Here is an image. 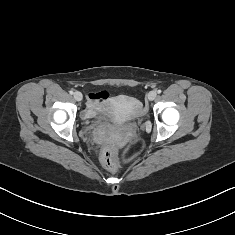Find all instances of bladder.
<instances>
[{"instance_id":"bladder-1","label":"bladder","mask_w":235,"mask_h":235,"mask_svg":"<svg viewBox=\"0 0 235 235\" xmlns=\"http://www.w3.org/2000/svg\"><path fill=\"white\" fill-rule=\"evenodd\" d=\"M122 103L136 105L135 100L130 97H118L112 101L102 100L97 102L94 110V116L100 120L117 123L118 114L116 112V108Z\"/></svg>"}]
</instances>
